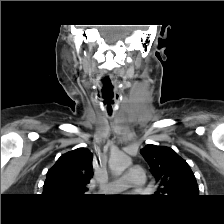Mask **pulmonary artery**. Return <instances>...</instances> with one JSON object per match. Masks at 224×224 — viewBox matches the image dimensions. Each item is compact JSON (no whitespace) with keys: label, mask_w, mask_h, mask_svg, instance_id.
Listing matches in <instances>:
<instances>
[{"label":"pulmonary artery","mask_w":224,"mask_h":224,"mask_svg":"<svg viewBox=\"0 0 224 224\" xmlns=\"http://www.w3.org/2000/svg\"><path fill=\"white\" fill-rule=\"evenodd\" d=\"M146 175L139 166H132L124 175L110 180V182L103 188V191L108 193H115L125 190L128 187H144Z\"/></svg>","instance_id":"1"}]
</instances>
